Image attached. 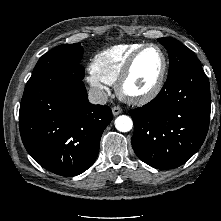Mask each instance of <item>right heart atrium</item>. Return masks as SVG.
I'll list each match as a JSON object with an SVG mask.
<instances>
[{
  "instance_id": "right-heart-atrium-1",
  "label": "right heart atrium",
  "mask_w": 221,
  "mask_h": 221,
  "mask_svg": "<svg viewBox=\"0 0 221 221\" xmlns=\"http://www.w3.org/2000/svg\"><path fill=\"white\" fill-rule=\"evenodd\" d=\"M86 80L89 85L99 94V96H104L107 93L108 88L106 87L104 82L99 80L92 73L87 76Z\"/></svg>"
}]
</instances>
